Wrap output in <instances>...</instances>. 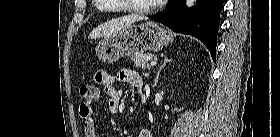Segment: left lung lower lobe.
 <instances>
[{
	"instance_id": "left-lung-lower-lobe-1",
	"label": "left lung lower lobe",
	"mask_w": 280,
	"mask_h": 137,
	"mask_svg": "<svg viewBox=\"0 0 280 137\" xmlns=\"http://www.w3.org/2000/svg\"><path fill=\"white\" fill-rule=\"evenodd\" d=\"M222 8L223 0H199L196 6L189 9L184 0H169L162 13L150 18L174 32L200 39L216 61L217 32Z\"/></svg>"
}]
</instances>
